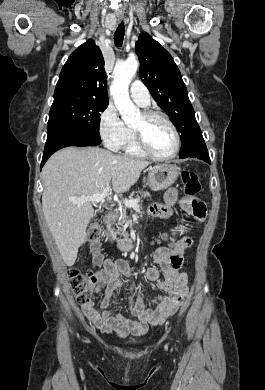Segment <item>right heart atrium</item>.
<instances>
[{"label":"right heart atrium","instance_id":"right-heart-atrium-1","mask_svg":"<svg viewBox=\"0 0 265 390\" xmlns=\"http://www.w3.org/2000/svg\"><path fill=\"white\" fill-rule=\"evenodd\" d=\"M98 130L104 144L111 150H119L129 133V128L111 104L100 114Z\"/></svg>","mask_w":265,"mask_h":390}]
</instances>
